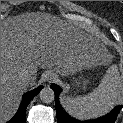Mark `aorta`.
Instances as JSON below:
<instances>
[{"label": "aorta", "instance_id": "aorta-1", "mask_svg": "<svg viewBox=\"0 0 123 123\" xmlns=\"http://www.w3.org/2000/svg\"><path fill=\"white\" fill-rule=\"evenodd\" d=\"M39 97L43 103H51L55 98L54 91L50 87H45L40 91Z\"/></svg>", "mask_w": 123, "mask_h": 123}]
</instances>
